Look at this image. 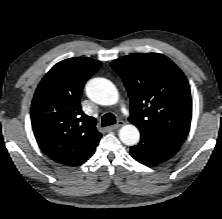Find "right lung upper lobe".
Here are the masks:
<instances>
[{
  "instance_id": "obj_1",
  "label": "right lung upper lobe",
  "mask_w": 222,
  "mask_h": 219,
  "mask_svg": "<svg viewBox=\"0 0 222 219\" xmlns=\"http://www.w3.org/2000/svg\"><path fill=\"white\" fill-rule=\"evenodd\" d=\"M100 61L74 57L57 63L39 83L31 105L36 141L52 160L78 166L95 151L102 136L96 119L84 114L80 97Z\"/></svg>"
}]
</instances>
